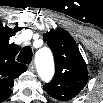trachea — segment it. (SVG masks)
<instances>
[{
	"label": "trachea",
	"mask_w": 103,
	"mask_h": 103,
	"mask_svg": "<svg viewBox=\"0 0 103 103\" xmlns=\"http://www.w3.org/2000/svg\"><path fill=\"white\" fill-rule=\"evenodd\" d=\"M32 49L29 46L24 47L17 57V61L28 64L32 61Z\"/></svg>",
	"instance_id": "trachea-1"
}]
</instances>
